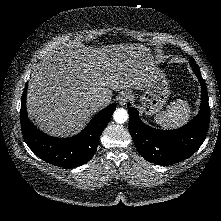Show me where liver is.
Here are the masks:
<instances>
[{
    "mask_svg": "<svg viewBox=\"0 0 221 221\" xmlns=\"http://www.w3.org/2000/svg\"><path fill=\"white\" fill-rule=\"evenodd\" d=\"M157 70L143 44L67 47L47 56L33 71L27 113L43 132L57 137L78 133L112 90H141Z\"/></svg>",
    "mask_w": 221,
    "mask_h": 221,
    "instance_id": "liver-1",
    "label": "liver"
}]
</instances>
